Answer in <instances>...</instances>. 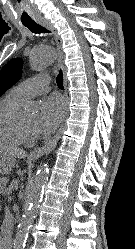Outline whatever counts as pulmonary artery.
<instances>
[{
    "instance_id": "pulmonary-artery-1",
    "label": "pulmonary artery",
    "mask_w": 135,
    "mask_h": 249,
    "mask_svg": "<svg viewBox=\"0 0 135 249\" xmlns=\"http://www.w3.org/2000/svg\"><path fill=\"white\" fill-rule=\"evenodd\" d=\"M50 90V79L47 75L40 74L29 78L12 89V92L21 100L44 94Z\"/></svg>"
}]
</instances>
